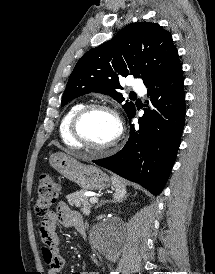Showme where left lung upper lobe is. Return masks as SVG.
<instances>
[{"label": "left lung upper lobe", "instance_id": "1", "mask_svg": "<svg viewBox=\"0 0 215 274\" xmlns=\"http://www.w3.org/2000/svg\"><path fill=\"white\" fill-rule=\"evenodd\" d=\"M181 66L171 34L157 23L139 22L124 27L111 40L86 52L77 62L63 94L61 106L90 92L110 95L122 103L119 79L133 75L145 86ZM129 116L135 105H122Z\"/></svg>", "mask_w": 215, "mask_h": 274}]
</instances>
